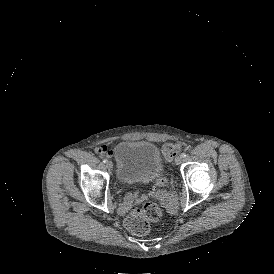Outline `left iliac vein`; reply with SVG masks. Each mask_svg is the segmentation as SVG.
<instances>
[{"label":"left iliac vein","mask_w":274,"mask_h":274,"mask_svg":"<svg viewBox=\"0 0 274 274\" xmlns=\"http://www.w3.org/2000/svg\"><path fill=\"white\" fill-rule=\"evenodd\" d=\"M182 163V157L180 155L176 156L175 158V164L180 165Z\"/></svg>","instance_id":"1"}]
</instances>
